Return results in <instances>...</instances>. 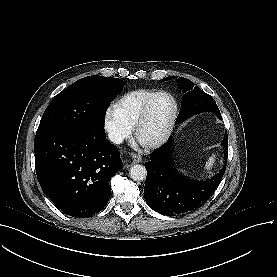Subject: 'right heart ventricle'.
<instances>
[{
  "label": "right heart ventricle",
  "instance_id": "e07e8e85",
  "mask_svg": "<svg viewBox=\"0 0 277 277\" xmlns=\"http://www.w3.org/2000/svg\"><path fill=\"white\" fill-rule=\"evenodd\" d=\"M151 94L152 91L150 90L140 89L126 94L117 102L118 112L131 126L135 124Z\"/></svg>",
  "mask_w": 277,
  "mask_h": 277
}]
</instances>
